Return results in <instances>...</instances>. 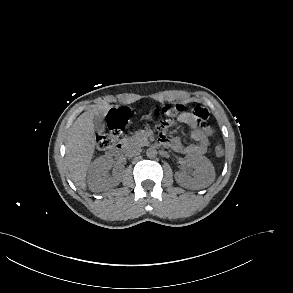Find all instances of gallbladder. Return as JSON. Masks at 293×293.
Returning <instances> with one entry per match:
<instances>
[{
  "label": "gallbladder",
  "instance_id": "gallbladder-1",
  "mask_svg": "<svg viewBox=\"0 0 293 293\" xmlns=\"http://www.w3.org/2000/svg\"><path fill=\"white\" fill-rule=\"evenodd\" d=\"M106 114V110L102 109L99 110L98 112L95 113V115L93 116V126L95 128L96 131L101 132L104 130L105 127V121H104V117Z\"/></svg>",
  "mask_w": 293,
  "mask_h": 293
}]
</instances>
